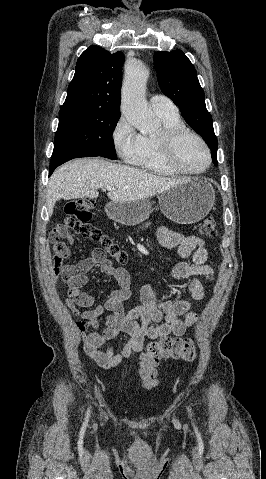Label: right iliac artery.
Returning <instances> with one entry per match:
<instances>
[{"instance_id": "1", "label": "right iliac artery", "mask_w": 266, "mask_h": 479, "mask_svg": "<svg viewBox=\"0 0 266 479\" xmlns=\"http://www.w3.org/2000/svg\"><path fill=\"white\" fill-rule=\"evenodd\" d=\"M89 413H90V410L88 409V411H87V416H86V420H87V418H88V416H89Z\"/></svg>"}]
</instances>
